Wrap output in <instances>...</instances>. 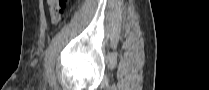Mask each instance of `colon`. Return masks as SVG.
<instances>
[{"label": "colon", "instance_id": "1", "mask_svg": "<svg viewBox=\"0 0 209 90\" xmlns=\"http://www.w3.org/2000/svg\"><path fill=\"white\" fill-rule=\"evenodd\" d=\"M67 5V0L48 1L49 15L52 23L57 24L63 20Z\"/></svg>", "mask_w": 209, "mask_h": 90}]
</instances>
